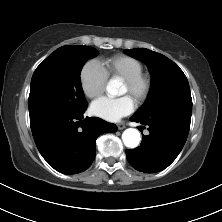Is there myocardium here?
<instances>
[{
	"label": "myocardium",
	"mask_w": 222,
	"mask_h": 222,
	"mask_svg": "<svg viewBox=\"0 0 222 222\" xmlns=\"http://www.w3.org/2000/svg\"><path fill=\"white\" fill-rule=\"evenodd\" d=\"M123 83L137 105L143 104L151 93L152 80L148 74L140 73L130 79L123 80Z\"/></svg>",
	"instance_id": "myocardium-1"
}]
</instances>
